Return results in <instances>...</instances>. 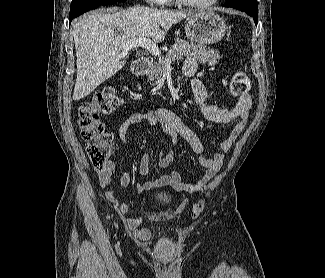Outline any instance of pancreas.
<instances>
[{
    "instance_id": "pancreas-1",
    "label": "pancreas",
    "mask_w": 325,
    "mask_h": 278,
    "mask_svg": "<svg viewBox=\"0 0 325 278\" xmlns=\"http://www.w3.org/2000/svg\"><path fill=\"white\" fill-rule=\"evenodd\" d=\"M183 57H193L200 63H208L210 65H215L217 61L222 58L220 52L215 51L213 48L202 44H195L193 42L189 43L186 40L178 38L171 46L166 57L162 61L152 64L149 74L150 81H155L164 74L166 69V60H169L172 63L175 60L182 59Z\"/></svg>"
}]
</instances>
